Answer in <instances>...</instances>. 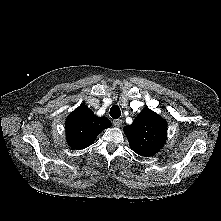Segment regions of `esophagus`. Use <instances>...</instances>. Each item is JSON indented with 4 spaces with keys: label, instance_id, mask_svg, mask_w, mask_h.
<instances>
[{
    "label": "esophagus",
    "instance_id": "obj_1",
    "mask_svg": "<svg viewBox=\"0 0 221 221\" xmlns=\"http://www.w3.org/2000/svg\"><path fill=\"white\" fill-rule=\"evenodd\" d=\"M122 120L121 119H116V120H113V125L115 127H120L122 125Z\"/></svg>",
    "mask_w": 221,
    "mask_h": 221
}]
</instances>
